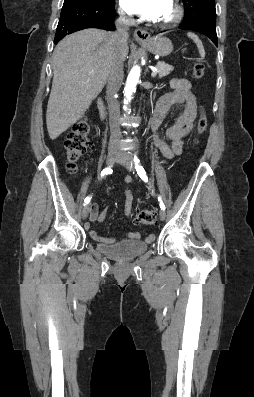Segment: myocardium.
Segmentation results:
<instances>
[{
    "instance_id": "myocardium-1",
    "label": "myocardium",
    "mask_w": 254,
    "mask_h": 397,
    "mask_svg": "<svg viewBox=\"0 0 254 397\" xmlns=\"http://www.w3.org/2000/svg\"><path fill=\"white\" fill-rule=\"evenodd\" d=\"M173 5V16L164 22H157L156 26L159 28H171L176 26L183 18V9L182 7L176 2V0H172Z\"/></svg>"
}]
</instances>
